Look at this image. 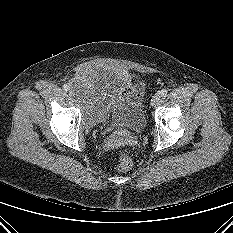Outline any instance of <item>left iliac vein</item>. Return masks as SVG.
<instances>
[{
  "instance_id": "left-iliac-vein-1",
  "label": "left iliac vein",
  "mask_w": 233,
  "mask_h": 233,
  "mask_svg": "<svg viewBox=\"0 0 233 233\" xmlns=\"http://www.w3.org/2000/svg\"><path fill=\"white\" fill-rule=\"evenodd\" d=\"M160 99V93L155 94L151 99V105H155Z\"/></svg>"
}]
</instances>
